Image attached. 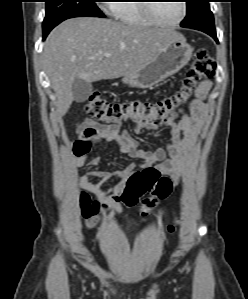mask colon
I'll return each instance as SVG.
<instances>
[{
    "mask_svg": "<svg viewBox=\"0 0 248 299\" xmlns=\"http://www.w3.org/2000/svg\"><path fill=\"white\" fill-rule=\"evenodd\" d=\"M216 63L206 50H199L186 75L180 89L173 95L157 102L131 100L124 102L108 101L100 94H91L85 104V112L92 118L107 122L146 121L156 126L178 115L182 106L189 100L198 85L215 75ZM171 181L162 176L154 167H146L135 171L125 181L120 191L122 203L128 207L136 205L144 194L149 196L142 201L140 213L147 216L156 205L171 192ZM82 213L84 217L92 215V202L82 196ZM179 219L168 226V232H175Z\"/></svg>",
    "mask_w": 248,
    "mask_h": 299,
    "instance_id": "obj_1",
    "label": "colon"
}]
</instances>
